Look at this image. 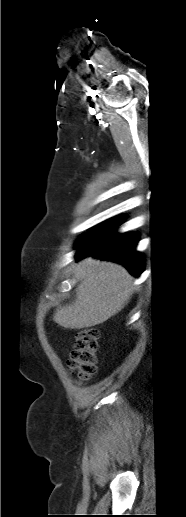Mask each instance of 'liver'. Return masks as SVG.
I'll return each instance as SVG.
<instances>
[{
	"label": "liver",
	"instance_id": "liver-1",
	"mask_svg": "<svg viewBox=\"0 0 186 517\" xmlns=\"http://www.w3.org/2000/svg\"><path fill=\"white\" fill-rule=\"evenodd\" d=\"M80 281L75 300L56 310L53 320L69 329L101 324L121 311L133 294V276L121 265L92 257L75 268Z\"/></svg>",
	"mask_w": 186,
	"mask_h": 517
}]
</instances>
